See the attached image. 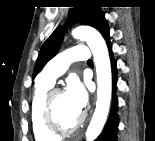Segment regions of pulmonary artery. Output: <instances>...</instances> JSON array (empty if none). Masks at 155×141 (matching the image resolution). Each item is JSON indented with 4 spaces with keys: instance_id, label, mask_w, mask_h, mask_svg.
Wrapping results in <instances>:
<instances>
[{
    "instance_id": "1",
    "label": "pulmonary artery",
    "mask_w": 155,
    "mask_h": 141,
    "mask_svg": "<svg viewBox=\"0 0 155 141\" xmlns=\"http://www.w3.org/2000/svg\"><path fill=\"white\" fill-rule=\"evenodd\" d=\"M89 49L85 45L73 46L57 55L45 72L39 75V81L53 84L72 62H85L89 58Z\"/></svg>"
}]
</instances>
